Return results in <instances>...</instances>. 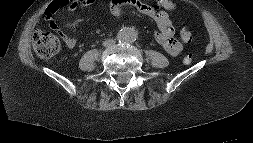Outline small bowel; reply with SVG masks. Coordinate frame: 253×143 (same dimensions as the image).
I'll return each mask as SVG.
<instances>
[{"label": "small bowel", "instance_id": "small-bowel-1", "mask_svg": "<svg viewBox=\"0 0 253 143\" xmlns=\"http://www.w3.org/2000/svg\"><path fill=\"white\" fill-rule=\"evenodd\" d=\"M123 6H130L138 13L155 20L158 26L155 38L168 54L177 56L183 51V43L174 38V27L169 12L172 11L175 6L171 0H156L153 5L144 3L141 0H110V12L116 20L122 19ZM53 15L54 14L50 13L49 10H46L45 18L48 22V26L61 36L68 48H74L76 46V40L65 33L63 29L52 20Z\"/></svg>", "mask_w": 253, "mask_h": 143}]
</instances>
